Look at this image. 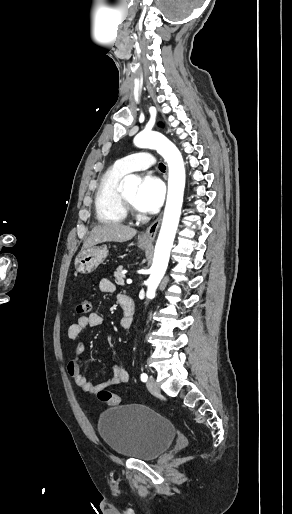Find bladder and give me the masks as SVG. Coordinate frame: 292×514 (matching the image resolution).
Returning a JSON list of instances; mask_svg holds the SVG:
<instances>
[{
  "mask_svg": "<svg viewBox=\"0 0 292 514\" xmlns=\"http://www.w3.org/2000/svg\"><path fill=\"white\" fill-rule=\"evenodd\" d=\"M97 430L115 454L143 461L157 458L176 437L169 419L139 404L105 410L98 418Z\"/></svg>",
  "mask_w": 292,
  "mask_h": 514,
  "instance_id": "bladder-1",
  "label": "bladder"
}]
</instances>
